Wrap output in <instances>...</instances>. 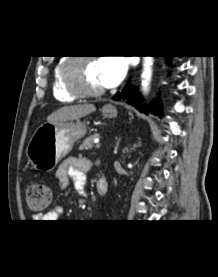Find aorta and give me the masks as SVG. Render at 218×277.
<instances>
[{"mask_svg":"<svg viewBox=\"0 0 218 277\" xmlns=\"http://www.w3.org/2000/svg\"><path fill=\"white\" fill-rule=\"evenodd\" d=\"M152 65H153V57L144 56L143 72H142V87L145 93L149 91V85L152 77Z\"/></svg>","mask_w":218,"mask_h":277,"instance_id":"762f6f07","label":"aorta"}]
</instances>
